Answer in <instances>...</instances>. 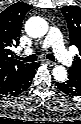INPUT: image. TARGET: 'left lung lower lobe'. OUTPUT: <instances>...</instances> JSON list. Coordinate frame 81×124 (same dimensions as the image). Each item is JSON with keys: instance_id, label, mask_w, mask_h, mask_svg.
<instances>
[{"instance_id": "left-lung-lower-lobe-1", "label": "left lung lower lobe", "mask_w": 81, "mask_h": 124, "mask_svg": "<svg viewBox=\"0 0 81 124\" xmlns=\"http://www.w3.org/2000/svg\"><path fill=\"white\" fill-rule=\"evenodd\" d=\"M57 88L69 96H81V80L69 74L65 82H56Z\"/></svg>"}]
</instances>
